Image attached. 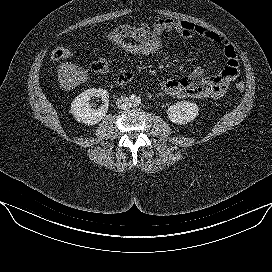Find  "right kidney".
<instances>
[{
  "instance_id": "1",
  "label": "right kidney",
  "mask_w": 272,
  "mask_h": 272,
  "mask_svg": "<svg viewBox=\"0 0 272 272\" xmlns=\"http://www.w3.org/2000/svg\"><path fill=\"white\" fill-rule=\"evenodd\" d=\"M92 96L101 97L103 104L100 108L91 107L89 100ZM108 92L101 88H91L78 95L71 103V113L78 122L87 125H95L99 123L108 111Z\"/></svg>"
}]
</instances>
